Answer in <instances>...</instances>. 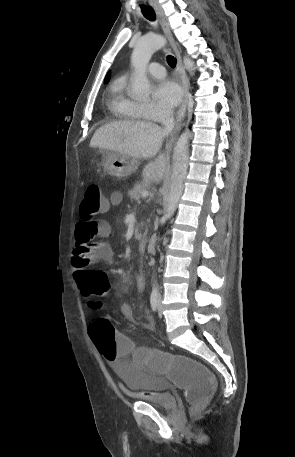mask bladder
<instances>
[{
  "instance_id": "31cf9c89",
  "label": "bladder",
  "mask_w": 295,
  "mask_h": 457,
  "mask_svg": "<svg viewBox=\"0 0 295 457\" xmlns=\"http://www.w3.org/2000/svg\"><path fill=\"white\" fill-rule=\"evenodd\" d=\"M111 366L127 390L153 405L160 406L162 411L176 410L175 397L166 390V381L161 374H144V371H140V366H122L121 362H114Z\"/></svg>"
}]
</instances>
